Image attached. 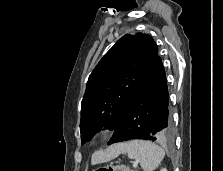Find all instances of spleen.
<instances>
[{
  "instance_id": "obj_1",
  "label": "spleen",
  "mask_w": 223,
  "mask_h": 171,
  "mask_svg": "<svg viewBox=\"0 0 223 171\" xmlns=\"http://www.w3.org/2000/svg\"><path fill=\"white\" fill-rule=\"evenodd\" d=\"M128 158L137 160L144 171H154L162 162L165 151L153 142L132 140L126 143Z\"/></svg>"
}]
</instances>
